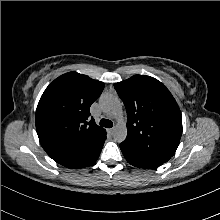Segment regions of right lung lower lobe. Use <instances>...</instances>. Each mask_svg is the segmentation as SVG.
Returning <instances> with one entry per match:
<instances>
[{
	"mask_svg": "<svg viewBox=\"0 0 220 220\" xmlns=\"http://www.w3.org/2000/svg\"><path fill=\"white\" fill-rule=\"evenodd\" d=\"M102 147H103V145L99 148L98 152L96 153L95 158L93 159V162H92L90 165H92L93 163L96 162V160L98 159V157H99V155H100V152H101V150H102ZM90 165H89V166H90Z\"/></svg>",
	"mask_w": 220,
	"mask_h": 220,
	"instance_id": "1",
	"label": "right lung lower lobe"
}]
</instances>
